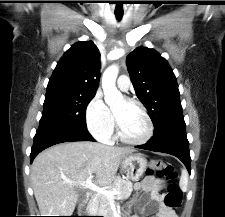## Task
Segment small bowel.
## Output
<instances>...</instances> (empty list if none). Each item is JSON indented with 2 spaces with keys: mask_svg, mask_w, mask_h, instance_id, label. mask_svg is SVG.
I'll return each instance as SVG.
<instances>
[{
  "mask_svg": "<svg viewBox=\"0 0 225 217\" xmlns=\"http://www.w3.org/2000/svg\"><path fill=\"white\" fill-rule=\"evenodd\" d=\"M137 192H149V197H137L126 205L127 209L136 207L139 214H151L157 210L156 217H178L175 211L164 203V196L160 193L161 181L152 175H147L134 186ZM131 217H139L134 215Z\"/></svg>",
  "mask_w": 225,
  "mask_h": 217,
  "instance_id": "c3829d8e",
  "label": "small bowel"
}]
</instances>
